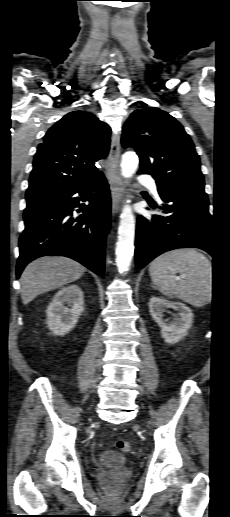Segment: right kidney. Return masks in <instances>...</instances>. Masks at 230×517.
Returning <instances> with one entry per match:
<instances>
[{"label": "right kidney", "instance_id": "obj_1", "mask_svg": "<svg viewBox=\"0 0 230 517\" xmlns=\"http://www.w3.org/2000/svg\"><path fill=\"white\" fill-rule=\"evenodd\" d=\"M84 310V297L78 285L59 290L47 308V325L53 335L70 332Z\"/></svg>", "mask_w": 230, "mask_h": 517}]
</instances>
